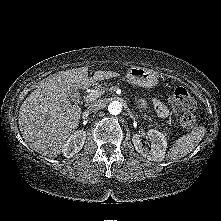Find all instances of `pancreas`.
Masks as SVG:
<instances>
[{"label": "pancreas", "mask_w": 221, "mask_h": 221, "mask_svg": "<svg viewBox=\"0 0 221 221\" xmlns=\"http://www.w3.org/2000/svg\"><path fill=\"white\" fill-rule=\"evenodd\" d=\"M117 88V86H111V85H104V86H102V85H97L96 86V91H106V90H108V89H111V90H113V89H116ZM144 119H148V120H150V121H152V119L150 118V117H147V116H145L144 117ZM155 125H157L158 127H160V125H158L157 123H155ZM166 132H168V129L167 128H165V133Z\"/></svg>", "instance_id": "obj_1"}]
</instances>
